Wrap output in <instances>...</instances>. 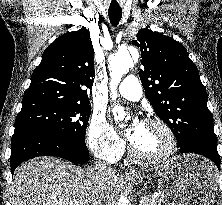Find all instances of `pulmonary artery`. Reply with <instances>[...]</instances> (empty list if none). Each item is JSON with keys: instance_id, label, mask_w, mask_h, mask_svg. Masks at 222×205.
I'll list each match as a JSON object with an SVG mask.
<instances>
[{"instance_id": "1", "label": "pulmonary artery", "mask_w": 222, "mask_h": 205, "mask_svg": "<svg viewBox=\"0 0 222 205\" xmlns=\"http://www.w3.org/2000/svg\"><path fill=\"white\" fill-rule=\"evenodd\" d=\"M117 91L122 97L132 101H137L142 97L141 85L134 76L124 78Z\"/></svg>"}]
</instances>
